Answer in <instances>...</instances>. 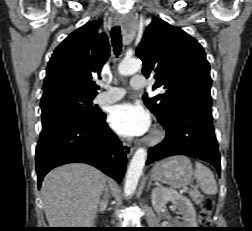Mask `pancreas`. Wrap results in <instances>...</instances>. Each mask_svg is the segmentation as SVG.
<instances>
[{
	"label": "pancreas",
	"instance_id": "pancreas-1",
	"mask_svg": "<svg viewBox=\"0 0 252 231\" xmlns=\"http://www.w3.org/2000/svg\"><path fill=\"white\" fill-rule=\"evenodd\" d=\"M189 194L193 201H195L196 203L200 202L202 194L198 190H192L191 192H189Z\"/></svg>",
	"mask_w": 252,
	"mask_h": 231
}]
</instances>
